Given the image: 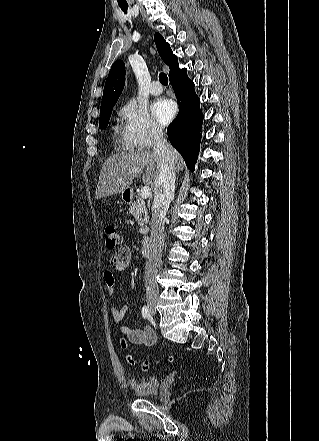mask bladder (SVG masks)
<instances>
[{
    "mask_svg": "<svg viewBox=\"0 0 319 441\" xmlns=\"http://www.w3.org/2000/svg\"><path fill=\"white\" fill-rule=\"evenodd\" d=\"M130 386L135 395L140 398L154 397L158 394L160 382L158 377L151 376L144 380L130 379Z\"/></svg>",
    "mask_w": 319,
    "mask_h": 441,
    "instance_id": "1",
    "label": "bladder"
}]
</instances>
